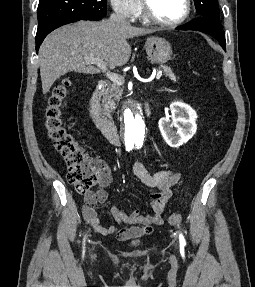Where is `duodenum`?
I'll return each instance as SVG.
<instances>
[{
    "mask_svg": "<svg viewBox=\"0 0 255 287\" xmlns=\"http://www.w3.org/2000/svg\"><path fill=\"white\" fill-rule=\"evenodd\" d=\"M105 88L106 85L104 82H99L97 84L88 100L87 112L93 123L103 132L110 142L116 144L119 142L117 128L114 122L109 119L100 108V100ZM146 111L147 113L149 112L148 108Z\"/></svg>",
    "mask_w": 255,
    "mask_h": 287,
    "instance_id": "1",
    "label": "duodenum"
}]
</instances>
